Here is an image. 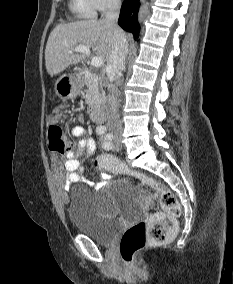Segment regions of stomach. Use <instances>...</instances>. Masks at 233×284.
Masks as SVG:
<instances>
[{
	"label": "stomach",
	"instance_id": "0dacf381",
	"mask_svg": "<svg viewBox=\"0 0 233 284\" xmlns=\"http://www.w3.org/2000/svg\"><path fill=\"white\" fill-rule=\"evenodd\" d=\"M82 81L75 75H63L55 83V92L61 99H70L78 95Z\"/></svg>",
	"mask_w": 233,
	"mask_h": 284
}]
</instances>
